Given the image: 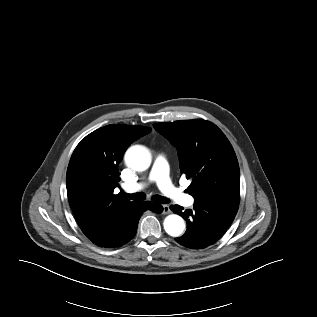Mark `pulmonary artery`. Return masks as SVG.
<instances>
[{
    "label": "pulmonary artery",
    "mask_w": 317,
    "mask_h": 317,
    "mask_svg": "<svg viewBox=\"0 0 317 317\" xmlns=\"http://www.w3.org/2000/svg\"><path fill=\"white\" fill-rule=\"evenodd\" d=\"M149 181L155 182L161 192L169 199L177 204L185 207H190L194 204L195 199L188 194H185L181 189L175 187L169 177V166L166 158L163 155H158L155 158L151 172L149 174ZM146 187L145 182L127 185L124 189L127 193H136Z\"/></svg>",
    "instance_id": "e3ab8cb5"
}]
</instances>
